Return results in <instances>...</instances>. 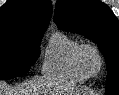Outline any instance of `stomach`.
<instances>
[{"label":"stomach","instance_id":"0dacf381","mask_svg":"<svg viewBox=\"0 0 119 95\" xmlns=\"http://www.w3.org/2000/svg\"><path fill=\"white\" fill-rule=\"evenodd\" d=\"M71 95H87V94L78 91V92H74V93H72Z\"/></svg>","mask_w":119,"mask_h":95}]
</instances>
